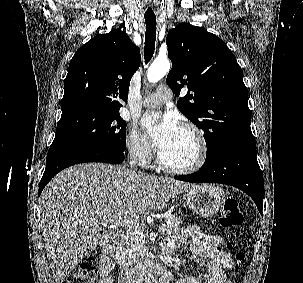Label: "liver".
<instances>
[{"mask_svg": "<svg viewBox=\"0 0 303 283\" xmlns=\"http://www.w3.org/2000/svg\"><path fill=\"white\" fill-rule=\"evenodd\" d=\"M192 186L102 163L61 171L43 190L39 205L55 282L62 283L85 256L110 242L112 232L101 230L99 221L116 216L136 225L150 210H163L169 198Z\"/></svg>", "mask_w": 303, "mask_h": 283, "instance_id": "liver-1", "label": "liver"}]
</instances>
